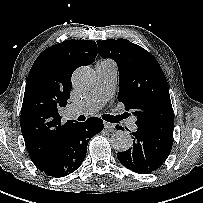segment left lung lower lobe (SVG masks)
<instances>
[{
    "mask_svg": "<svg viewBox=\"0 0 203 203\" xmlns=\"http://www.w3.org/2000/svg\"><path fill=\"white\" fill-rule=\"evenodd\" d=\"M131 135L133 146L127 151L118 152L119 161L139 174H149L160 168L171 151L173 134L138 127Z\"/></svg>",
    "mask_w": 203,
    "mask_h": 203,
    "instance_id": "1",
    "label": "left lung lower lobe"
}]
</instances>
